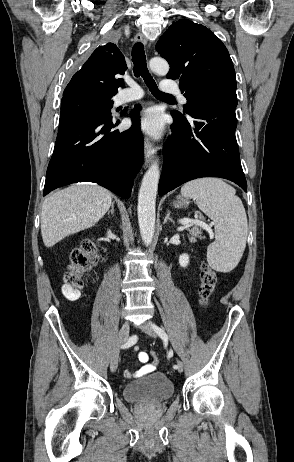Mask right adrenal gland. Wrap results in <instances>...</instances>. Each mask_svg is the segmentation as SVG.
<instances>
[{
    "instance_id": "right-adrenal-gland-1",
    "label": "right adrenal gland",
    "mask_w": 294,
    "mask_h": 462,
    "mask_svg": "<svg viewBox=\"0 0 294 462\" xmlns=\"http://www.w3.org/2000/svg\"><path fill=\"white\" fill-rule=\"evenodd\" d=\"M110 213H111L112 215H114V202H113L112 205H111V210L108 212V215H109Z\"/></svg>"
}]
</instances>
